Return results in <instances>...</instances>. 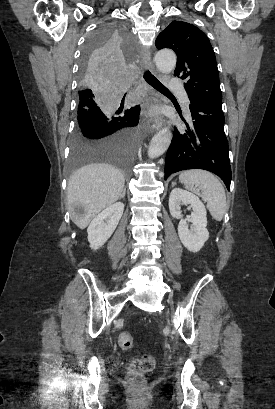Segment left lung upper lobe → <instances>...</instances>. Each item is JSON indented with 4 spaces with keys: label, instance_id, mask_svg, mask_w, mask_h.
<instances>
[{
    "label": "left lung upper lobe",
    "instance_id": "1",
    "mask_svg": "<svg viewBox=\"0 0 275 409\" xmlns=\"http://www.w3.org/2000/svg\"><path fill=\"white\" fill-rule=\"evenodd\" d=\"M156 47L175 51L174 75L186 80L184 87L190 99L222 104L215 54L201 30L187 22L173 21L158 35Z\"/></svg>",
    "mask_w": 275,
    "mask_h": 409
}]
</instances>
